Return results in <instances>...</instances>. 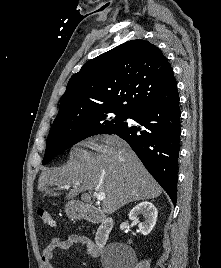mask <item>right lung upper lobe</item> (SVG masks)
Masks as SVG:
<instances>
[{"label": "right lung upper lobe", "instance_id": "cb5924a9", "mask_svg": "<svg viewBox=\"0 0 221 268\" xmlns=\"http://www.w3.org/2000/svg\"><path fill=\"white\" fill-rule=\"evenodd\" d=\"M176 88L173 69L160 49L148 41L131 40L88 61L72 76L57 117L99 111L131 117L178 97Z\"/></svg>", "mask_w": 221, "mask_h": 268}]
</instances>
